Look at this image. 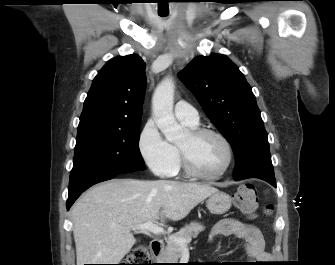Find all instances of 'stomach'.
Returning a JSON list of instances; mask_svg holds the SVG:
<instances>
[{"instance_id": "obj_1", "label": "stomach", "mask_w": 335, "mask_h": 265, "mask_svg": "<svg viewBox=\"0 0 335 265\" xmlns=\"http://www.w3.org/2000/svg\"><path fill=\"white\" fill-rule=\"evenodd\" d=\"M231 202L232 199L229 194L218 190L209 196L206 206L212 214L221 215L230 209Z\"/></svg>"}]
</instances>
